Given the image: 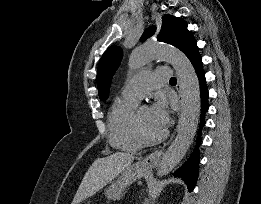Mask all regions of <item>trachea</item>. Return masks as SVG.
<instances>
[{"mask_svg":"<svg viewBox=\"0 0 261 204\" xmlns=\"http://www.w3.org/2000/svg\"><path fill=\"white\" fill-rule=\"evenodd\" d=\"M170 82H176V78H175V77H172V78L170 79Z\"/></svg>","mask_w":261,"mask_h":204,"instance_id":"3493384b","label":"trachea"}]
</instances>
